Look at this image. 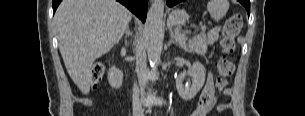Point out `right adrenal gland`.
<instances>
[{"label": "right adrenal gland", "instance_id": "right-adrenal-gland-1", "mask_svg": "<svg viewBox=\"0 0 305 116\" xmlns=\"http://www.w3.org/2000/svg\"><path fill=\"white\" fill-rule=\"evenodd\" d=\"M131 36L132 37V32L129 29V26H127L126 30H125V46H129V42L127 41V38Z\"/></svg>", "mask_w": 305, "mask_h": 116}]
</instances>
